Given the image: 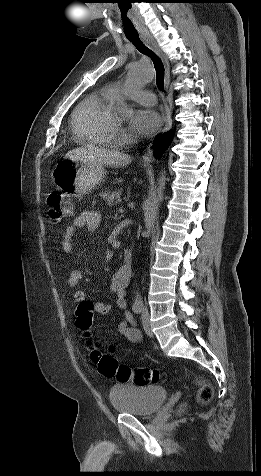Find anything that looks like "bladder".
<instances>
[{"mask_svg": "<svg viewBox=\"0 0 261 476\" xmlns=\"http://www.w3.org/2000/svg\"><path fill=\"white\" fill-rule=\"evenodd\" d=\"M109 398L114 409L133 416H149L158 411L167 392L158 385L121 383L113 386Z\"/></svg>", "mask_w": 261, "mask_h": 476, "instance_id": "31cf9c89", "label": "bladder"}]
</instances>
